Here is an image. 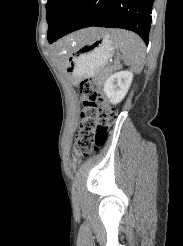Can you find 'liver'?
Returning a JSON list of instances; mask_svg holds the SVG:
<instances>
[{
  "label": "liver",
  "instance_id": "obj_1",
  "mask_svg": "<svg viewBox=\"0 0 183 246\" xmlns=\"http://www.w3.org/2000/svg\"><path fill=\"white\" fill-rule=\"evenodd\" d=\"M101 31L102 29L90 28V29H85V30H81V31L74 33L73 35L67 37L66 39H64L63 41L57 44L58 55L62 58H65V55H64L65 48L69 47L72 44H76V43L81 45L85 43L86 41L95 38Z\"/></svg>",
  "mask_w": 183,
  "mask_h": 246
}]
</instances>
